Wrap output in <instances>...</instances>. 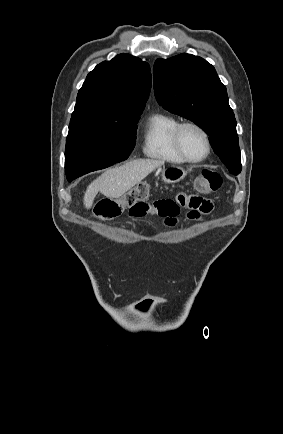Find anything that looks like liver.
Listing matches in <instances>:
<instances>
[{
  "mask_svg": "<svg viewBox=\"0 0 283 434\" xmlns=\"http://www.w3.org/2000/svg\"><path fill=\"white\" fill-rule=\"evenodd\" d=\"M163 164L164 162L159 160L138 159L107 170L87 187L84 194L85 207L87 209L92 207L98 192L109 198H120Z\"/></svg>",
  "mask_w": 283,
  "mask_h": 434,
  "instance_id": "liver-1",
  "label": "liver"
}]
</instances>
